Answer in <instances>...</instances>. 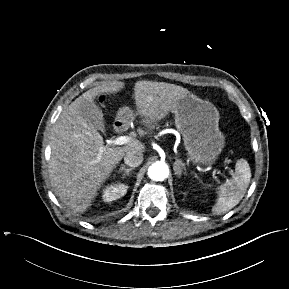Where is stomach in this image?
Returning a JSON list of instances; mask_svg holds the SVG:
<instances>
[{
  "mask_svg": "<svg viewBox=\"0 0 289 289\" xmlns=\"http://www.w3.org/2000/svg\"><path fill=\"white\" fill-rule=\"evenodd\" d=\"M172 112L189 160L199 165L213 164L225 144L224 135L219 129V112L216 107L189 92L177 102ZM123 116L130 117L131 110L121 109L118 117Z\"/></svg>",
  "mask_w": 289,
  "mask_h": 289,
  "instance_id": "stomach-1",
  "label": "stomach"
}]
</instances>
